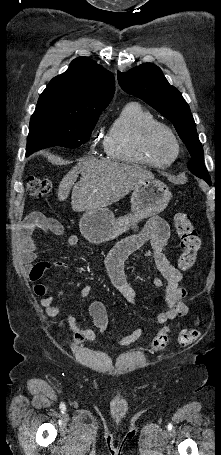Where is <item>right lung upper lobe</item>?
<instances>
[{"label": "right lung upper lobe", "instance_id": "right-lung-upper-lobe-1", "mask_svg": "<svg viewBox=\"0 0 221 455\" xmlns=\"http://www.w3.org/2000/svg\"><path fill=\"white\" fill-rule=\"evenodd\" d=\"M115 92L111 72L86 57L74 59L68 70L53 78L39 97L36 109L86 115L102 112Z\"/></svg>", "mask_w": 221, "mask_h": 455}]
</instances>
